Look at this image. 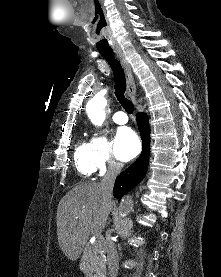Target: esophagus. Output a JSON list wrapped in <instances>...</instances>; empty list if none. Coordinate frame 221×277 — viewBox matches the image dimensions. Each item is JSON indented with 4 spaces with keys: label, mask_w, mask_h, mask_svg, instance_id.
I'll return each instance as SVG.
<instances>
[{
    "label": "esophagus",
    "mask_w": 221,
    "mask_h": 277,
    "mask_svg": "<svg viewBox=\"0 0 221 277\" xmlns=\"http://www.w3.org/2000/svg\"><path fill=\"white\" fill-rule=\"evenodd\" d=\"M114 53L121 61V64L125 71L126 82H127V93L129 96L134 97L136 95V86H135L131 66L120 49H115Z\"/></svg>",
    "instance_id": "obj_1"
}]
</instances>
